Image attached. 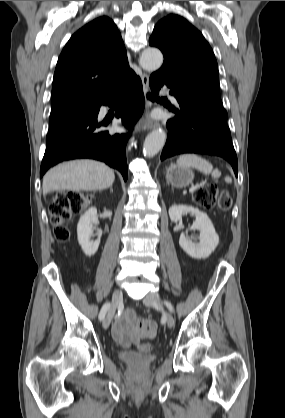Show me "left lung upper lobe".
Masks as SVG:
<instances>
[{
  "mask_svg": "<svg viewBox=\"0 0 285 418\" xmlns=\"http://www.w3.org/2000/svg\"><path fill=\"white\" fill-rule=\"evenodd\" d=\"M149 44L164 55L162 67L152 75L163 76L180 92L223 106L213 50L186 19L174 14L161 19Z\"/></svg>",
  "mask_w": 285,
  "mask_h": 418,
  "instance_id": "obj_1",
  "label": "left lung upper lobe"
}]
</instances>
